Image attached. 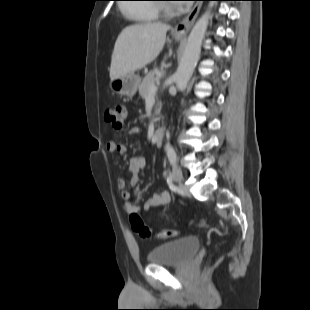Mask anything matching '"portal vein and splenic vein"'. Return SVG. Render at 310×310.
<instances>
[{
	"mask_svg": "<svg viewBox=\"0 0 310 310\" xmlns=\"http://www.w3.org/2000/svg\"><path fill=\"white\" fill-rule=\"evenodd\" d=\"M157 91V87L155 85L151 86L149 89V96L153 97Z\"/></svg>",
	"mask_w": 310,
	"mask_h": 310,
	"instance_id": "1",
	"label": "portal vein and splenic vein"
}]
</instances>
